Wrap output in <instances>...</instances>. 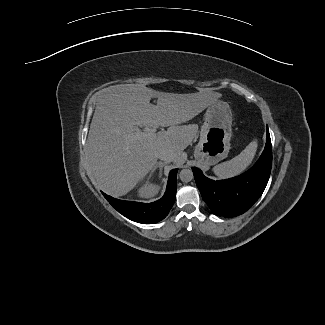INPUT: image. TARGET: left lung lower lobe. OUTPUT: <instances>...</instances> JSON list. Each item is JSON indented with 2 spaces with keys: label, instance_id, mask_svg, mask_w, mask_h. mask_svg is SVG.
Wrapping results in <instances>:
<instances>
[{
  "label": "left lung lower lobe",
  "instance_id": "left-lung-lower-lobe-1",
  "mask_svg": "<svg viewBox=\"0 0 325 325\" xmlns=\"http://www.w3.org/2000/svg\"><path fill=\"white\" fill-rule=\"evenodd\" d=\"M266 145L256 164L245 173L226 180L214 181L193 167L194 178L202 198L217 216L234 217L246 212L262 195L272 165L269 130Z\"/></svg>",
  "mask_w": 325,
  "mask_h": 325
}]
</instances>
